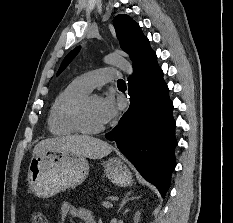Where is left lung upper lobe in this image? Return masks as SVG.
Listing matches in <instances>:
<instances>
[{
	"mask_svg": "<svg viewBox=\"0 0 233 223\" xmlns=\"http://www.w3.org/2000/svg\"><path fill=\"white\" fill-rule=\"evenodd\" d=\"M114 28L122 50L130 55L134 65L145 48L149 46V40L143 35L139 25L128 15H118L114 19ZM79 50L80 47H76L65 57L57 75L67 67Z\"/></svg>",
	"mask_w": 233,
	"mask_h": 223,
	"instance_id": "obj_1",
	"label": "left lung upper lobe"
}]
</instances>
